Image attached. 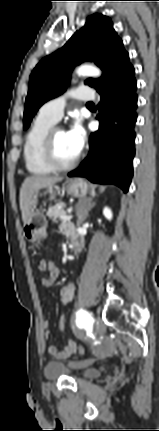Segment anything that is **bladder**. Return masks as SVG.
I'll return each instance as SVG.
<instances>
[{
	"mask_svg": "<svg viewBox=\"0 0 159 431\" xmlns=\"http://www.w3.org/2000/svg\"><path fill=\"white\" fill-rule=\"evenodd\" d=\"M44 372L49 379H57L61 376H70L78 379H91L100 375V371L96 368L85 367L75 370L60 362L48 363Z\"/></svg>",
	"mask_w": 159,
	"mask_h": 431,
	"instance_id": "1",
	"label": "bladder"
}]
</instances>
